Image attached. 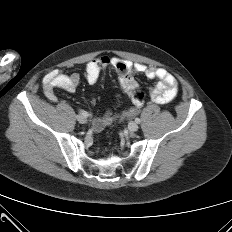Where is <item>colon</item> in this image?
Wrapping results in <instances>:
<instances>
[{
  "label": "colon",
  "instance_id": "obj_1",
  "mask_svg": "<svg viewBox=\"0 0 232 232\" xmlns=\"http://www.w3.org/2000/svg\"><path fill=\"white\" fill-rule=\"evenodd\" d=\"M144 100V94L141 92H134L132 99L128 102L126 107L123 109V111L120 113L119 117L116 119V122L118 123V127H123V123L125 122V119L128 116L134 115V108L138 109L142 104Z\"/></svg>",
  "mask_w": 232,
  "mask_h": 232
}]
</instances>
